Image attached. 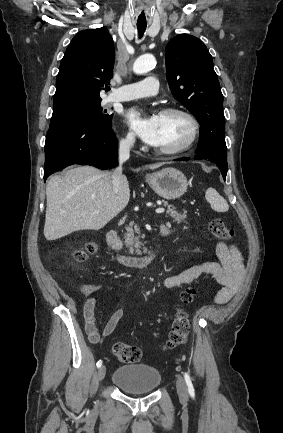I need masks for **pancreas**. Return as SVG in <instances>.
<instances>
[{"mask_svg":"<svg viewBox=\"0 0 283 433\" xmlns=\"http://www.w3.org/2000/svg\"><path fill=\"white\" fill-rule=\"evenodd\" d=\"M162 202L164 206H168L166 214H170V217L174 219V223H183V221L187 219V214H185L186 210H183V214H181V212H177V210H175V206H173V204H168L167 200H162ZM126 231L125 245L126 247H130L129 255H134V253H136V255H142V251H140V245H142L140 239H143V237H141L137 225H134V227L131 225V227H128ZM135 233H137V237H135ZM147 251V247H144L143 253H147Z\"/></svg>","mask_w":283,"mask_h":433,"instance_id":"obj_1","label":"pancreas"}]
</instances>
